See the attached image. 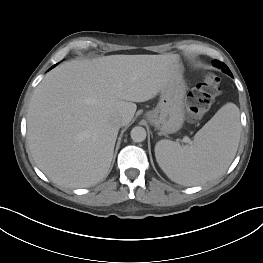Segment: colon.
Listing matches in <instances>:
<instances>
[{"label": "colon", "instance_id": "colon-1", "mask_svg": "<svg viewBox=\"0 0 263 263\" xmlns=\"http://www.w3.org/2000/svg\"><path fill=\"white\" fill-rule=\"evenodd\" d=\"M220 93V79L213 73L204 74L200 82L187 95L185 107L188 119L191 121L201 119Z\"/></svg>", "mask_w": 263, "mask_h": 263}]
</instances>
